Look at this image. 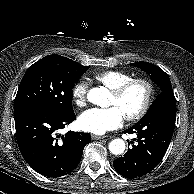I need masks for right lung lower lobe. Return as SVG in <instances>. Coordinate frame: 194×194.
Segmentation results:
<instances>
[{
    "mask_svg": "<svg viewBox=\"0 0 194 194\" xmlns=\"http://www.w3.org/2000/svg\"><path fill=\"white\" fill-rule=\"evenodd\" d=\"M17 143L26 162L39 174L60 177L79 164L83 149L91 141L89 133L56 131L76 119L73 110L54 112L42 106L14 109Z\"/></svg>",
    "mask_w": 194,
    "mask_h": 194,
    "instance_id": "1",
    "label": "right lung lower lobe"
}]
</instances>
